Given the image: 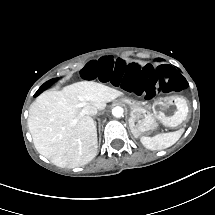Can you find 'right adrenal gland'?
<instances>
[{"label": "right adrenal gland", "mask_w": 215, "mask_h": 215, "mask_svg": "<svg viewBox=\"0 0 215 215\" xmlns=\"http://www.w3.org/2000/svg\"><path fill=\"white\" fill-rule=\"evenodd\" d=\"M94 126H95V128L97 127V122H96V120H94Z\"/></svg>", "instance_id": "2a0ac1e0"}]
</instances>
